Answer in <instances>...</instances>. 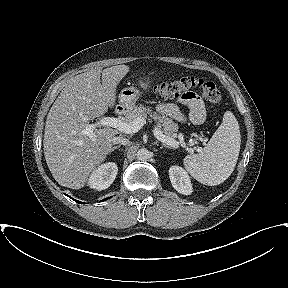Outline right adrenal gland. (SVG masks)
Masks as SVG:
<instances>
[{"label": "right adrenal gland", "instance_id": "right-adrenal-gland-1", "mask_svg": "<svg viewBox=\"0 0 288 288\" xmlns=\"http://www.w3.org/2000/svg\"><path fill=\"white\" fill-rule=\"evenodd\" d=\"M119 148H120V145L119 146H114V147H112L111 152H113L114 150L119 149Z\"/></svg>", "mask_w": 288, "mask_h": 288}]
</instances>
